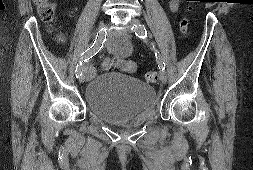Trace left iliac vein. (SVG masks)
I'll list each match as a JSON object with an SVG mask.
<instances>
[{
	"mask_svg": "<svg viewBox=\"0 0 253 170\" xmlns=\"http://www.w3.org/2000/svg\"><path fill=\"white\" fill-rule=\"evenodd\" d=\"M139 24H141V22H140V20H138V19H132V20L130 21V27H131V29H132V27H133L134 25H139ZM159 78H160V81H161L163 84H165V83L167 82V75H166V73H165L164 70H161V71H160Z\"/></svg>",
	"mask_w": 253,
	"mask_h": 170,
	"instance_id": "4c4485c4",
	"label": "left iliac vein"
}]
</instances>
